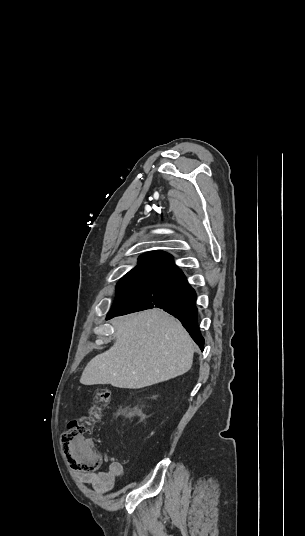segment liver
I'll return each mask as SVG.
<instances>
[{"label": "liver", "mask_w": 305, "mask_h": 536, "mask_svg": "<svg viewBox=\"0 0 305 536\" xmlns=\"http://www.w3.org/2000/svg\"><path fill=\"white\" fill-rule=\"evenodd\" d=\"M116 342L88 362L84 386L145 388L186 374L193 364V342L182 324L162 310H146L111 320Z\"/></svg>", "instance_id": "1"}]
</instances>
